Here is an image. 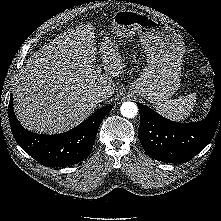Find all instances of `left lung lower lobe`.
I'll use <instances>...</instances> for the list:
<instances>
[{
  "instance_id": "obj_1",
  "label": "left lung lower lobe",
  "mask_w": 221,
  "mask_h": 221,
  "mask_svg": "<svg viewBox=\"0 0 221 221\" xmlns=\"http://www.w3.org/2000/svg\"><path fill=\"white\" fill-rule=\"evenodd\" d=\"M214 86L209 115L189 124L173 122L137 104L141 116L138 136L148 156L161 162H187L209 144L221 127V83L214 80Z\"/></svg>"
}]
</instances>
